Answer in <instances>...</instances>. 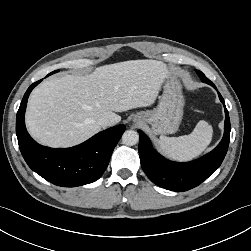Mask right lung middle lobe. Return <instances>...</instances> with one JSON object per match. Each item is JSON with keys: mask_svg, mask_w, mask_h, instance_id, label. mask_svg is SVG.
<instances>
[{"mask_svg": "<svg viewBox=\"0 0 251 251\" xmlns=\"http://www.w3.org/2000/svg\"><path fill=\"white\" fill-rule=\"evenodd\" d=\"M55 72H58V70L51 72L49 75H51V74H53V73H55Z\"/></svg>", "mask_w": 251, "mask_h": 251, "instance_id": "right-lung-middle-lobe-1", "label": "right lung middle lobe"}]
</instances>
